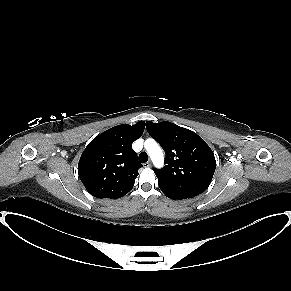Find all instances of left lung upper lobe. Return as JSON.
I'll use <instances>...</instances> for the list:
<instances>
[{
  "label": "left lung upper lobe",
  "instance_id": "left-lung-upper-lobe-1",
  "mask_svg": "<svg viewBox=\"0 0 291 291\" xmlns=\"http://www.w3.org/2000/svg\"><path fill=\"white\" fill-rule=\"evenodd\" d=\"M146 128L166 153L165 166L154 168L158 183L193 197L204 192L216 168L214 153L206 142L195 132L167 121H148Z\"/></svg>",
  "mask_w": 291,
  "mask_h": 291
}]
</instances>
